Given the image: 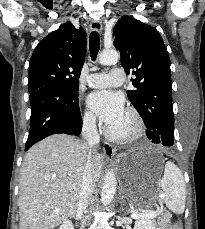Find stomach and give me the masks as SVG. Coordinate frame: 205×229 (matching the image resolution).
Instances as JSON below:
<instances>
[{
	"mask_svg": "<svg viewBox=\"0 0 205 229\" xmlns=\"http://www.w3.org/2000/svg\"><path fill=\"white\" fill-rule=\"evenodd\" d=\"M122 191L130 199L141 198L144 203L156 199L154 184L164 164L163 157L151 149H136L119 156Z\"/></svg>",
	"mask_w": 205,
	"mask_h": 229,
	"instance_id": "0dacf381",
	"label": "stomach"
}]
</instances>
